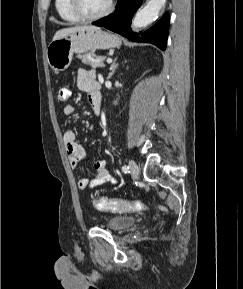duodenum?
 I'll use <instances>...</instances> for the list:
<instances>
[{"instance_id": "duodenum-1", "label": "duodenum", "mask_w": 243, "mask_h": 289, "mask_svg": "<svg viewBox=\"0 0 243 289\" xmlns=\"http://www.w3.org/2000/svg\"><path fill=\"white\" fill-rule=\"evenodd\" d=\"M94 95H95V100H96L97 106L100 107L101 106V95H100L99 89H97L95 91Z\"/></svg>"}]
</instances>
